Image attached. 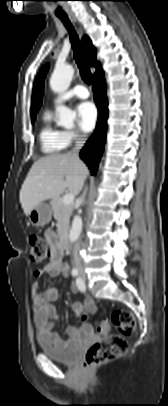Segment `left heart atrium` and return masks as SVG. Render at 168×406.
I'll return each mask as SVG.
<instances>
[{
  "mask_svg": "<svg viewBox=\"0 0 168 406\" xmlns=\"http://www.w3.org/2000/svg\"><path fill=\"white\" fill-rule=\"evenodd\" d=\"M77 114L80 128L85 132L92 131L98 118L95 105L92 102H82L77 106Z\"/></svg>",
  "mask_w": 168,
  "mask_h": 406,
  "instance_id": "left-heart-atrium-1",
  "label": "left heart atrium"
}]
</instances>
